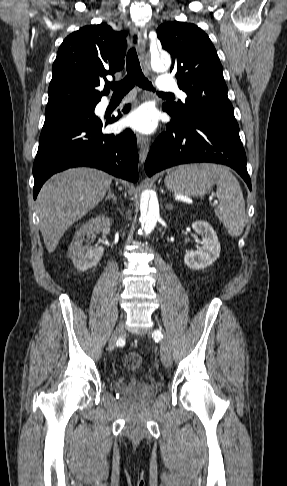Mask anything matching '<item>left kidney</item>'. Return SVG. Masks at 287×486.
<instances>
[{
	"label": "left kidney",
	"instance_id": "1",
	"mask_svg": "<svg viewBox=\"0 0 287 486\" xmlns=\"http://www.w3.org/2000/svg\"><path fill=\"white\" fill-rule=\"evenodd\" d=\"M193 230L202 236L204 246L197 251H187L184 263L190 269H204L213 264L220 254V243L216 232L209 223L198 220L192 223Z\"/></svg>",
	"mask_w": 287,
	"mask_h": 486
}]
</instances>
